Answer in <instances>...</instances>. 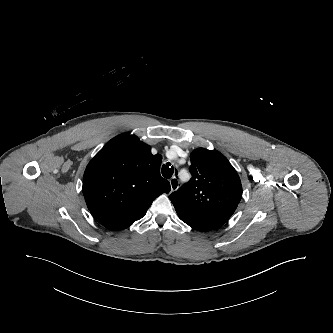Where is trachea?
Returning a JSON list of instances; mask_svg holds the SVG:
<instances>
[{
    "label": "trachea",
    "instance_id": "obj_1",
    "mask_svg": "<svg viewBox=\"0 0 333 333\" xmlns=\"http://www.w3.org/2000/svg\"><path fill=\"white\" fill-rule=\"evenodd\" d=\"M173 172H174V168H173V166H171L170 162H167L166 164H164L162 166V175H163V177L169 179V178L172 177Z\"/></svg>",
    "mask_w": 333,
    "mask_h": 333
}]
</instances>
